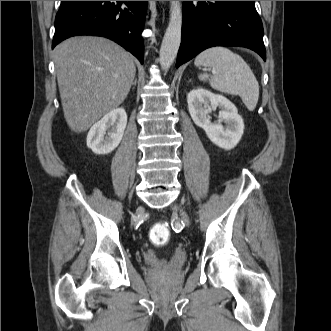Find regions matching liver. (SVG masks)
Instances as JSON below:
<instances>
[{"label": "liver", "mask_w": 331, "mask_h": 331, "mask_svg": "<svg viewBox=\"0 0 331 331\" xmlns=\"http://www.w3.org/2000/svg\"><path fill=\"white\" fill-rule=\"evenodd\" d=\"M54 62L64 117L76 133L117 109L136 73L132 55L102 37L64 40L54 49Z\"/></svg>", "instance_id": "obj_1"}]
</instances>
